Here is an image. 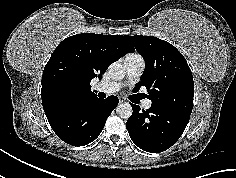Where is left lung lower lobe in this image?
Returning a JSON list of instances; mask_svg holds the SVG:
<instances>
[{
	"label": "left lung lower lobe",
	"mask_w": 236,
	"mask_h": 178,
	"mask_svg": "<svg viewBox=\"0 0 236 178\" xmlns=\"http://www.w3.org/2000/svg\"><path fill=\"white\" fill-rule=\"evenodd\" d=\"M133 114L126 122V128L133 143L140 149L159 153L170 148L182 135L190 114L152 104L144 111L131 104Z\"/></svg>",
	"instance_id": "0a47b994"
}]
</instances>
